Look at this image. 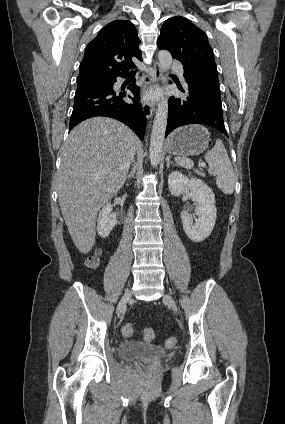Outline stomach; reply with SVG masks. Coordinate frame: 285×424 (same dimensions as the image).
Here are the masks:
<instances>
[{
	"instance_id": "0dacf381",
	"label": "stomach",
	"mask_w": 285,
	"mask_h": 424,
	"mask_svg": "<svg viewBox=\"0 0 285 424\" xmlns=\"http://www.w3.org/2000/svg\"><path fill=\"white\" fill-rule=\"evenodd\" d=\"M209 141L210 133L205 127L190 125L172 132L166 140V149L174 155H199L208 147Z\"/></svg>"
}]
</instances>
